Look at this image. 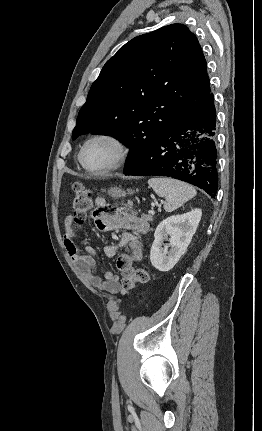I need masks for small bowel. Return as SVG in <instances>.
I'll return each instance as SVG.
<instances>
[{"instance_id":"small-bowel-1","label":"small bowel","mask_w":262,"mask_h":431,"mask_svg":"<svg viewBox=\"0 0 262 431\" xmlns=\"http://www.w3.org/2000/svg\"><path fill=\"white\" fill-rule=\"evenodd\" d=\"M94 204L97 210L101 211L105 207L106 201L103 198H97ZM95 223L99 229L109 232H122L117 244L108 245L104 248V254L108 258L116 257L120 248H128L130 250L129 255H121L118 259L117 264L120 275H116L110 271L105 272L102 276L96 273V250L92 246H84L81 249L76 244V232L71 216H67L64 221V244L67 252L79 273L92 286L103 293L113 296H124L126 292L122 289L121 280L132 274L133 263L142 258L143 245L141 238L148 233V220L144 215L120 209L111 215L98 212L95 215Z\"/></svg>"}]
</instances>
